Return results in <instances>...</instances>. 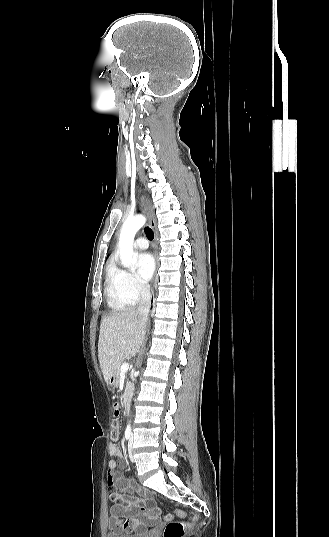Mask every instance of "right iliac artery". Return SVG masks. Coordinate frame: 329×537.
Returning a JSON list of instances; mask_svg holds the SVG:
<instances>
[{
	"label": "right iliac artery",
	"instance_id": "right-iliac-artery-1",
	"mask_svg": "<svg viewBox=\"0 0 329 537\" xmlns=\"http://www.w3.org/2000/svg\"><path fill=\"white\" fill-rule=\"evenodd\" d=\"M130 436H131V430L129 428H127L125 430V438H126V440H128L130 438Z\"/></svg>",
	"mask_w": 329,
	"mask_h": 537
}]
</instances>
